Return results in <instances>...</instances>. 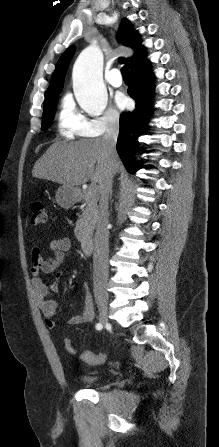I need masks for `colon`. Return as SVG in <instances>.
I'll return each instance as SVG.
<instances>
[{
  "mask_svg": "<svg viewBox=\"0 0 219 447\" xmlns=\"http://www.w3.org/2000/svg\"><path fill=\"white\" fill-rule=\"evenodd\" d=\"M30 221L33 226H40L46 222L45 204L42 200H35L30 205ZM65 349L68 353L74 354L76 349L70 340L64 341ZM84 360L90 364H102L105 360L103 354L84 352Z\"/></svg>",
  "mask_w": 219,
  "mask_h": 447,
  "instance_id": "1",
  "label": "colon"
}]
</instances>
